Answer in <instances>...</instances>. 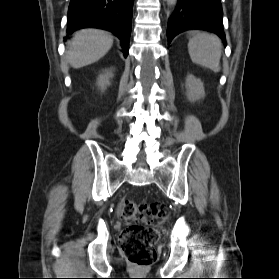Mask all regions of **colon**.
Instances as JSON below:
<instances>
[{
    "mask_svg": "<svg viewBox=\"0 0 279 279\" xmlns=\"http://www.w3.org/2000/svg\"><path fill=\"white\" fill-rule=\"evenodd\" d=\"M119 212L126 222L119 239L123 256L136 266L151 265L158 256L159 233L150 224L163 216L162 204L125 200L120 204Z\"/></svg>",
    "mask_w": 279,
    "mask_h": 279,
    "instance_id": "1",
    "label": "colon"
}]
</instances>
